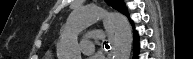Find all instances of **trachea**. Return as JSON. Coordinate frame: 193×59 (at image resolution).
Returning <instances> with one entry per match:
<instances>
[{
    "label": "trachea",
    "instance_id": "trachea-1",
    "mask_svg": "<svg viewBox=\"0 0 193 59\" xmlns=\"http://www.w3.org/2000/svg\"><path fill=\"white\" fill-rule=\"evenodd\" d=\"M104 44H105V48H106V49H109V48H110V46L108 45V43L104 42ZM104 44H103V46H104Z\"/></svg>",
    "mask_w": 193,
    "mask_h": 59
}]
</instances>
